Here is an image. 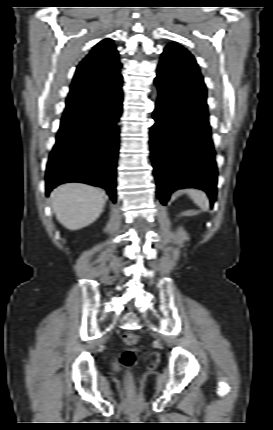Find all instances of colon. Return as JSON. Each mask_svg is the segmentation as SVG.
<instances>
[{"instance_id": "colon-1", "label": "colon", "mask_w": 273, "mask_h": 430, "mask_svg": "<svg viewBox=\"0 0 273 430\" xmlns=\"http://www.w3.org/2000/svg\"><path fill=\"white\" fill-rule=\"evenodd\" d=\"M122 338L124 343L129 346H133L138 342L137 336L131 332L124 333ZM120 362L122 366L126 369V380L130 385L133 379L130 370L136 362V352L132 349L124 350L120 356Z\"/></svg>"}]
</instances>
